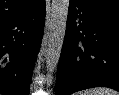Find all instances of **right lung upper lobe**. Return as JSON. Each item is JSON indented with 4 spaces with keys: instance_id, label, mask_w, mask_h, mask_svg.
Wrapping results in <instances>:
<instances>
[{
    "instance_id": "cb5924a9",
    "label": "right lung upper lobe",
    "mask_w": 119,
    "mask_h": 95,
    "mask_svg": "<svg viewBox=\"0 0 119 95\" xmlns=\"http://www.w3.org/2000/svg\"><path fill=\"white\" fill-rule=\"evenodd\" d=\"M41 1L42 0H0V24L32 10Z\"/></svg>"
}]
</instances>
